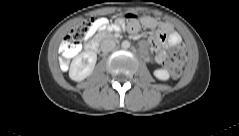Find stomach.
Masks as SVG:
<instances>
[{
	"label": "stomach",
	"mask_w": 239,
	"mask_h": 136,
	"mask_svg": "<svg viewBox=\"0 0 239 136\" xmlns=\"http://www.w3.org/2000/svg\"><path fill=\"white\" fill-rule=\"evenodd\" d=\"M123 20L138 22L140 20V15L137 13H123Z\"/></svg>",
	"instance_id": "0dacf381"
}]
</instances>
